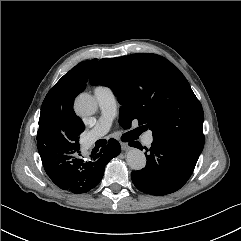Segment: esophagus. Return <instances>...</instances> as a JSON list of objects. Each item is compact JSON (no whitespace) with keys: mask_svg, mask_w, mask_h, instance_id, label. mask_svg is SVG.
<instances>
[{"mask_svg":"<svg viewBox=\"0 0 241 241\" xmlns=\"http://www.w3.org/2000/svg\"><path fill=\"white\" fill-rule=\"evenodd\" d=\"M119 142H120V145H121V148L123 151H126L129 148L127 143H125L123 141H119Z\"/></svg>","mask_w":241,"mask_h":241,"instance_id":"obj_1","label":"esophagus"}]
</instances>
